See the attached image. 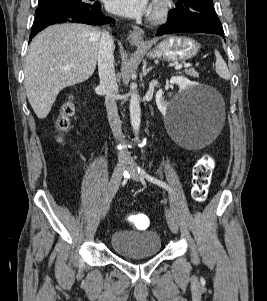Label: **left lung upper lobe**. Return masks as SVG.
<instances>
[{"label": "left lung upper lobe", "mask_w": 267, "mask_h": 301, "mask_svg": "<svg viewBox=\"0 0 267 301\" xmlns=\"http://www.w3.org/2000/svg\"><path fill=\"white\" fill-rule=\"evenodd\" d=\"M176 8L168 14L171 23L194 22L223 31L213 7V0H177Z\"/></svg>", "instance_id": "1"}]
</instances>
